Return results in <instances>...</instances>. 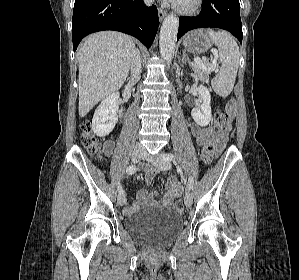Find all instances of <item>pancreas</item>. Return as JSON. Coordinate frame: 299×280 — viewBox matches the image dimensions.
Returning a JSON list of instances; mask_svg holds the SVG:
<instances>
[{"label": "pancreas", "mask_w": 299, "mask_h": 280, "mask_svg": "<svg viewBox=\"0 0 299 280\" xmlns=\"http://www.w3.org/2000/svg\"><path fill=\"white\" fill-rule=\"evenodd\" d=\"M192 69L196 74V77L202 81L203 83H208L209 82V73L207 71L202 70L199 68L198 65L192 63Z\"/></svg>", "instance_id": "obj_1"}]
</instances>
